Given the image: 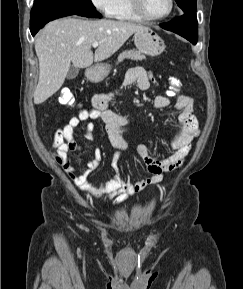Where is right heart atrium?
<instances>
[{
    "mask_svg": "<svg viewBox=\"0 0 243 289\" xmlns=\"http://www.w3.org/2000/svg\"><path fill=\"white\" fill-rule=\"evenodd\" d=\"M92 4L105 14H109L113 8L115 0H91Z\"/></svg>",
    "mask_w": 243,
    "mask_h": 289,
    "instance_id": "1",
    "label": "right heart atrium"
}]
</instances>
